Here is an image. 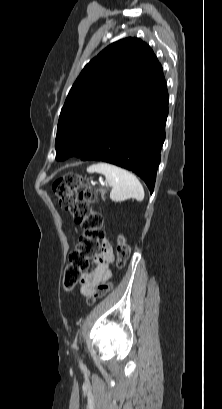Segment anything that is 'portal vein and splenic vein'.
<instances>
[{
  "instance_id": "18ae733b",
  "label": "portal vein and splenic vein",
  "mask_w": 222,
  "mask_h": 409,
  "mask_svg": "<svg viewBox=\"0 0 222 409\" xmlns=\"http://www.w3.org/2000/svg\"><path fill=\"white\" fill-rule=\"evenodd\" d=\"M102 185H105L102 179L99 180Z\"/></svg>"
}]
</instances>
